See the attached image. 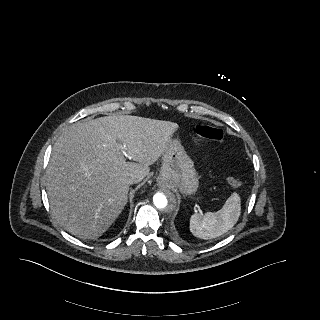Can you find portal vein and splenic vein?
Returning <instances> with one entry per match:
<instances>
[{"instance_id": "obj_1", "label": "portal vein and splenic vein", "mask_w": 320, "mask_h": 320, "mask_svg": "<svg viewBox=\"0 0 320 320\" xmlns=\"http://www.w3.org/2000/svg\"><path fill=\"white\" fill-rule=\"evenodd\" d=\"M120 149L124 153L125 146H120Z\"/></svg>"}]
</instances>
